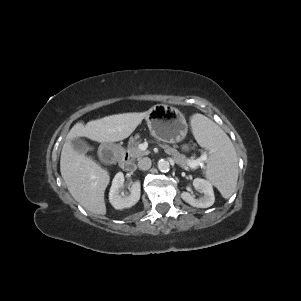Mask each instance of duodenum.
Returning a JSON list of instances; mask_svg holds the SVG:
<instances>
[{
	"mask_svg": "<svg viewBox=\"0 0 301 301\" xmlns=\"http://www.w3.org/2000/svg\"><path fill=\"white\" fill-rule=\"evenodd\" d=\"M98 156L103 162L108 164L120 163L121 168L125 172H133L135 170V163L129 155L119 145L112 143H105L98 149Z\"/></svg>",
	"mask_w": 301,
	"mask_h": 301,
	"instance_id": "410a0bca",
	"label": "duodenum"
}]
</instances>
